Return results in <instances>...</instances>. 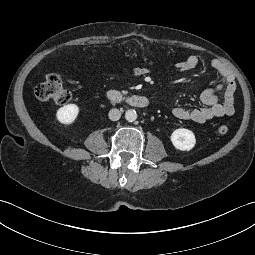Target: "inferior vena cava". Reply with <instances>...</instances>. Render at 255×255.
I'll return each mask as SVG.
<instances>
[{
	"label": "inferior vena cava",
	"mask_w": 255,
	"mask_h": 255,
	"mask_svg": "<svg viewBox=\"0 0 255 255\" xmlns=\"http://www.w3.org/2000/svg\"><path fill=\"white\" fill-rule=\"evenodd\" d=\"M108 116L111 121H117L121 117V112L118 109L113 108L109 111Z\"/></svg>",
	"instance_id": "602c4592"
}]
</instances>
